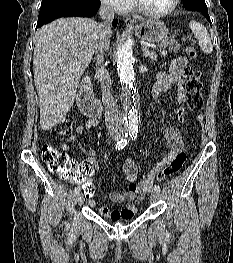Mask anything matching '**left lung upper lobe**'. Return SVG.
Segmentation results:
<instances>
[{"label":"left lung upper lobe","instance_id":"obj_1","mask_svg":"<svg viewBox=\"0 0 233 263\" xmlns=\"http://www.w3.org/2000/svg\"><path fill=\"white\" fill-rule=\"evenodd\" d=\"M184 7L192 11H205L207 6L204 0H183Z\"/></svg>","mask_w":233,"mask_h":263}]
</instances>
